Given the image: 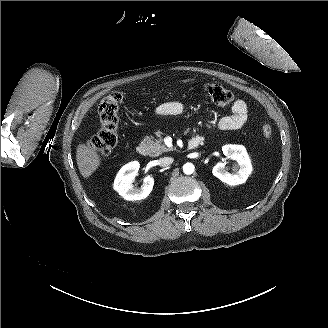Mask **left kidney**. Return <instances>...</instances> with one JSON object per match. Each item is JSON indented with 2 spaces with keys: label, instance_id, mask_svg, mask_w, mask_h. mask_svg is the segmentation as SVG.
Returning a JSON list of instances; mask_svg holds the SVG:
<instances>
[{
  "label": "left kidney",
  "instance_id": "left-kidney-1",
  "mask_svg": "<svg viewBox=\"0 0 328 328\" xmlns=\"http://www.w3.org/2000/svg\"><path fill=\"white\" fill-rule=\"evenodd\" d=\"M222 150L227 159L236 162L233 168L235 173H229L226 164L220 161L213 167L212 174L230 186L243 184L252 172V166L245 148L240 145H226Z\"/></svg>",
  "mask_w": 328,
  "mask_h": 328
}]
</instances>
